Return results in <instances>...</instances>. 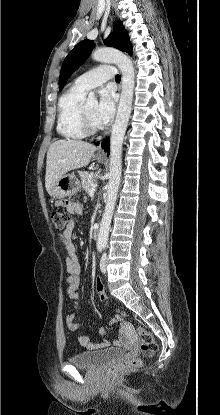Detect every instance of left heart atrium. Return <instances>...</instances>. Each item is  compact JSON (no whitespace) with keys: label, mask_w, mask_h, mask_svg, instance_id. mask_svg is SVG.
I'll list each match as a JSON object with an SVG mask.
<instances>
[{"label":"left heart atrium","mask_w":220,"mask_h":415,"mask_svg":"<svg viewBox=\"0 0 220 415\" xmlns=\"http://www.w3.org/2000/svg\"><path fill=\"white\" fill-rule=\"evenodd\" d=\"M115 112V97L114 93L109 88H104L100 91L99 101L93 112V117L98 124H107L114 115Z\"/></svg>","instance_id":"39dd6f15"}]
</instances>
